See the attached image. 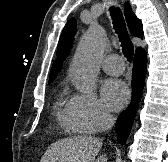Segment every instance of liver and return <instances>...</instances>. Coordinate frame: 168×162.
Wrapping results in <instances>:
<instances>
[{
	"label": "liver",
	"mask_w": 168,
	"mask_h": 162,
	"mask_svg": "<svg viewBox=\"0 0 168 162\" xmlns=\"http://www.w3.org/2000/svg\"><path fill=\"white\" fill-rule=\"evenodd\" d=\"M102 142L97 137H69L61 139L48 147L40 162H107L100 152Z\"/></svg>",
	"instance_id": "liver-1"
}]
</instances>
